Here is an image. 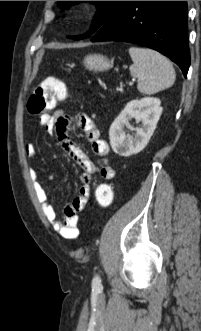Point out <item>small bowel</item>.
I'll return each mask as SVG.
<instances>
[{
  "instance_id": "c3829d8e",
  "label": "small bowel",
  "mask_w": 201,
  "mask_h": 331,
  "mask_svg": "<svg viewBox=\"0 0 201 331\" xmlns=\"http://www.w3.org/2000/svg\"><path fill=\"white\" fill-rule=\"evenodd\" d=\"M73 122L85 133L93 154L101 159L99 167H97L82 149L69 138L68 133ZM39 123L49 134H55L66 154L71 157L84 172L82 176L83 184L79 189L78 196L66 206L64 219L62 221L58 218L55 208L48 203V195L40 181L39 173L35 169H30L29 172L34 191L42 204L46 219L63 238L75 239L79 233V213L85 208L91 195L89 185L90 175L98 173L104 180H111L115 176V170L108 158L109 147L107 142L100 137L97 125L84 113H78L72 118L67 115L64 110L58 109L52 114L41 115ZM25 154L28 159L34 160L37 155L35 146L33 144H27L25 146Z\"/></svg>"
}]
</instances>
